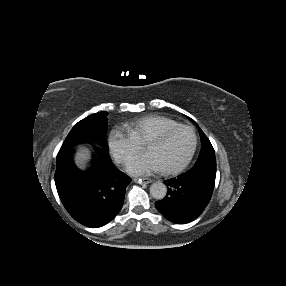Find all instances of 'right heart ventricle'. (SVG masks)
<instances>
[{
    "mask_svg": "<svg viewBox=\"0 0 286 286\" xmlns=\"http://www.w3.org/2000/svg\"><path fill=\"white\" fill-rule=\"evenodd\" d=\"M180 125L177 121L165 116L148 115L126 123L125 128L139 143H142L154 134Z\"/></svg>",
    "mask_w": 286,
    "mask_h": 286,
    "instance_id": "obj_1",
    "label": "right heart ventricle"
}]
</instances>
